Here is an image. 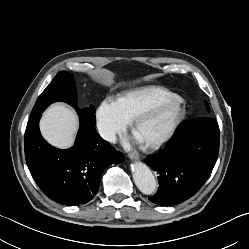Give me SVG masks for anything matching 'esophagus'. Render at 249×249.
<instances>
[{
  "label": "esophagus",
  "mask_w": 249,
  "mask_h": 249,
  "mask_svg": "<svg viewBox=\"0 0 249 249\" xmlns=\"http://www.w3.org/2000/svg\"><path fill=\"white\" fill-rule=\"evenodd\" d=\"M128 157L131 159V160H138L140 158V155L138 152L136 151H133V152H130L128 154Z\"/></svg>",
  "instance_id": "esophagus-1"
}]
</instances>
